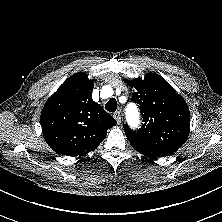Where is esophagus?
<instances>
[{
	"label": "esophagus",
	"instance_id": "34e87169",
	"mask_svg": "<svg viewBox=\"0 0 222 222\" xmlns=\"http://www.w3.org/2000/svg\"><path fill=\"white\" fill-rule=\"evenodd\" d=\"M113 117L117 121L118 124L121 122V113H120V111L114 112Z\"/></svg>",
	"mask_w": 222,
	"mask_h": 222
}]
</instances>
